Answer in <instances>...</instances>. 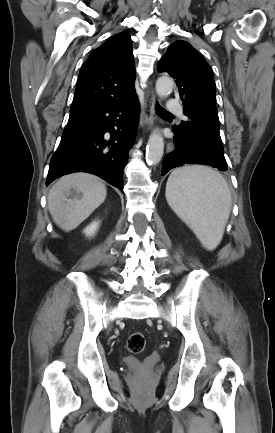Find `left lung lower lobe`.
Listing matches in <instances>:
<instances>
[{"instance_id": "0a47b994", "label": "left lung lower lobe", "mask_w": 275, "mask_h": 433, "mask_svg": "<svg viewBox=\"0 0 275 433\" xmlns=\"http://www.w3.org/2000/svg\"><path fill=\"white\" fill-rule=\"evenodd\" d=\"M174 145L175 150L167 154L163 160L162 175H165L172 168L179 167L184 164H205L215 167L207 159L194 153L190 147V144L186 140L180 138L176 133H174ZM219 170L226 171L225 169Z\"/></svg>"}]
</instances>
